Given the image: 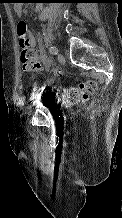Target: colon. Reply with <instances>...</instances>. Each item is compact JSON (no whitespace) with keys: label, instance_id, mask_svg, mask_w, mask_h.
<instances>
[{"label":"colon","instance_id":"1","mask_svg":"<svg viewBox=\"0 0 122 218\" xmlns=\"http://www.w3.org/2000/svg\"><path fill=\"white\" fill-rule=\"evenodd\" d=\"M17 35L20 46V60L23 66L36 69V52L31 47V36L27 24L19 21L17 24ZM97 84L93 80H87L80 83L77 87L66 88L58 91L64 102L74 104L88 100L96 92Z\"/></svg>","mask_w":122,"mask_h":218}]
</instances>
